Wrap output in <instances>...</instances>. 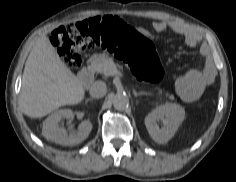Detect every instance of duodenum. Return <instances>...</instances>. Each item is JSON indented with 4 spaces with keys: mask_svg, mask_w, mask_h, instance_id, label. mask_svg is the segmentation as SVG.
<instances>
[{
    "mask_svg": "<svg viewBox=\"0 0 236 182\" xmlns=\"http://www.w3.org/2000/svg\"><path fill=\"white\" fill-rule=\"evenodd\" d=\"M94 80L93 72L90 68H85L81 73V83L84 87H88Z\"/></svg>",
    "mask_w": 236,
    "mask_h": 182,
    "instance_id": "obj_1",
    "label": "duodenum"
}]
</instances>
